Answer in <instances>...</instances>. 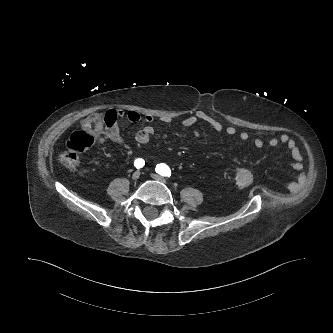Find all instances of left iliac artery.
<instances>
[{
  "label": "left iliac artery",
  "mask_w": 333,
  "mask_h": 333,
  "mask_svg": "<svg viewBox=\"0 0 333 333\" xmlns=\"http://www.w3.org/2000/svg\"><path fill=\"white\" fill-rule=\"evenodd\" d=\"M155 171L164 176V177H170L171 176V170L170 168L164 164V163H161V164H157L156 165V168H155Z\"/></svg>",
  "instance_id": "44dca946"
}]
</instances>
